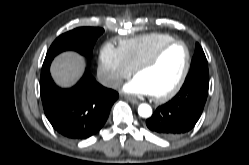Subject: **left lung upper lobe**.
<instances>
[{"label": "left lung upper lobe", "mask_w": 249, "mask_h": 165, "mask_svg": "<svg viewBox=\"0 0 249 165\" xmlns=\"http://www.w3.org/2000/svg\"><path fill=\"white\" fill-rule=\"evenodd\" d=\"M194 76L209 77L207 59L205 57L203 49L198 43L196 44V52L193 56L190 71L186 79Z\"/></svg>", "instance_id": "5c2ea615"}]
</instances>
